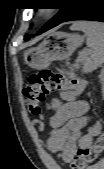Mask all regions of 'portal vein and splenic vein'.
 Masks as SVG:
<instances>
[{"label": "portal vein and splenic vein", "instance_id": "obj_1", "mask_svg": "<svg viewBox=\"0 0 104 169\" xmlns=\"http://www.w3.org/2000/svg\"><path fill=\"white\" fill-rule=\"evenodd\" d=\"M85 57H86L85 54L79 55L76 62H82L85 59ZM76 66H78V64Z\"/></svg>", "mask_w": 104, "mask_h": 169}]
</instances>
